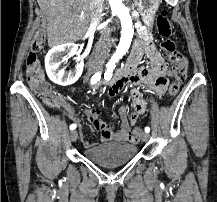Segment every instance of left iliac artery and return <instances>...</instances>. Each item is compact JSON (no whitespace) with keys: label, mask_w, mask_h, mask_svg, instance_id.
Here are the masks:
<instances>
[{"label":"left iliac artery","mask_w":217,"mask_h":202,"mask_svg":"<svg viewBox=\"0 0 217 202\" xmlns=\"http://www.w3.org/2000/svg\"><path fill=\"white\" fill-rule=\"evenodd\" d=\"M110 73V75L108 76V74ZM112 77V70H107V72L104 74V78L105 80H110ZM145 132L148 133L150 132V128L149 127H145Z\"/></svg>","instance_id":"obj_1"}]
</instances>
